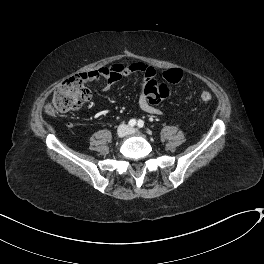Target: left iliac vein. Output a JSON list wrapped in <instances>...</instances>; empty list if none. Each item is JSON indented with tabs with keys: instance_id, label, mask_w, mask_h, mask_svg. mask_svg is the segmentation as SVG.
I'll return each mask as SVG.
<instances>
[{
	"instance_id": "obj_1",
	"label": "left iliac vein",
	"mask_w": 264,
	"mask_h": 264,
	"mask_svg": "<svg viewBox=\"0 0 264 264\" xmlns=\"http://www.w3.org/2000/svg\"><path fill=\"white\" fill-rule=\"evenodd\" d=\"M138 132H137V130L136 129H134V128H131L130 129V134H137Z\"/></svg>"
}]
</instances>
